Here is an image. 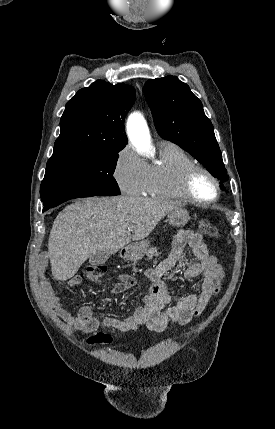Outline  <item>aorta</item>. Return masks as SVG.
<instances>
[{"instance_id":"aorta-1","label":"aorta","mask_w":275,"mask_h":429,"mask_svg":"<svg viewBox=\"0 0 275 429\" xmlns=\"http://www.w3.org/2000/svg\"><path fill=\"white\" fill-rule=\"evenodd\" d=\"M129 137L139 153L150 155L153 152L151 137L144 118L133 114L128 122Z\"/></svg>"}]
</instances>
